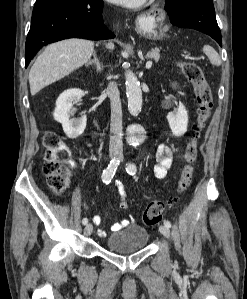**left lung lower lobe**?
<instances>
[{"mask_svg": "<svg viewBox=\"0 0 247 299\" xmlns=\"http://www.w3.org/2000/svg\"><path fill=\"white\" fill-rule=\"evenodd\" d=\"M173 25L201 31L218 42L222 47L212 2L206 0H178L173 6H165Z\"/></svg>", "mask_w": 247, "mask_h": 299, "instance_id": "obj_1", "label": "left lung lower lobe"}]
</instances>
